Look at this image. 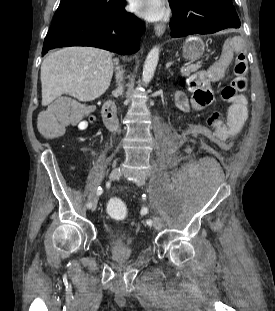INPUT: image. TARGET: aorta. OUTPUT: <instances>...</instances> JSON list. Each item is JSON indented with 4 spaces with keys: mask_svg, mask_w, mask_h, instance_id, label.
<instances>
[{
    "mask_svg": "<svg viewBox=\"0 0 275 311\" xmlns=\"http://www.w3.org/2000/svg\"><path fill=\"white\" fill-rule=\"evenodd\" d=\"M158 60H159V48L154 47L148 53L147 58L144 63V67H143L142 80L145 85H147L153 78Z\"/></svg>",
    "mask_w": 275,
    "mask_h": 311,
    "instance_id": "762f6f07",
    "label": "aorta"
}]
</instances>
